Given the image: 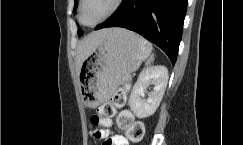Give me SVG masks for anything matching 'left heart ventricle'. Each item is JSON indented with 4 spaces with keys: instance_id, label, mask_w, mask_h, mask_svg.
Returning a JSON list of instances; mask_svg holds the SVG:
<instances>
[{
    "instance_id": "1",
    "label": "left heart ventricle",
    "mask_w": 243,
    "mask_h": 145,
    "mask_svg": "<svg viewBox=\"0 0 243 145\" xmlns=\"http://www.w3.org/2000/svg\"><path fill=\"white\" fill-rule=\"evenodd\" d=\"M114 0H85L82 10V20L91 25L101 19L112 7Z\"/></svg>"
}]
</instances>
